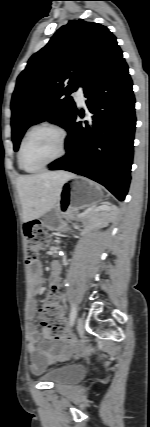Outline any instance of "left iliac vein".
Returning a JSON list of instances; mask_svg holds the SVG:
<instances>
[{
    "mask_svg": "<svg viewBox=\"0 0 150 427\" xmlns=\"http://www.w3.org/2000/svg\"><path fill=\"white\" fill-rule=\"evenodd\" d=\"M77 331L79 333L80 336L83 335L84 333V320L82 317H79L77 319V325H76Z\"/></svg>",
    "mask_w": 150,
    "mask_h": 427,
    "instance_id": "obj_1",
    "label": "left iliac vein"
}]
</instances>
